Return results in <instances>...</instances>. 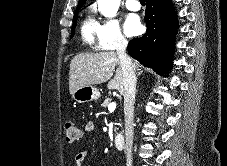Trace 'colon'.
I'll return each instance as SVG.
<instances>
[{"label":"colon","mask_w":227,"mask_h":166,"mask_svg":"<svg viewBox=\"0 0 227 166\" xmlns=\"http://www.w3.org/2000/svg\"><path fill=\"white\" fill-rule=\"evenodd\" d=\"M64 135L68 142H75L81 139V132L78 127L71 121L64 124Z\"/></svg>","instance_id":"1"}]
</instances>
